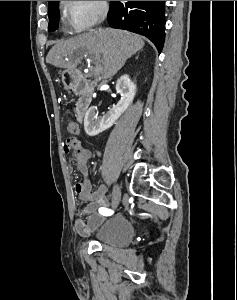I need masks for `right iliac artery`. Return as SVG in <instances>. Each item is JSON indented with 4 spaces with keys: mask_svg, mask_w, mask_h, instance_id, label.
I'll return each mask as SVG.
<instances>
[{
    "mask_svg": "<svg viewBox=\"0 0 237 300\" xmlns=\"http://www.w3.org/2000/svg\"><path fill=\"white\" fill-rule=\"evenodd\" d=\"M109 211L113 212L112 210L107 209V208H104V207L99 208V212H100L101 214H103V215H105V214H106L107 212H109Z\"/></svg>",
    "mask_w": 237,
    "mask_h": 300,
    "instance_id": "82829eb1",
    "label": "right iliac artery"
}]
</instances>
